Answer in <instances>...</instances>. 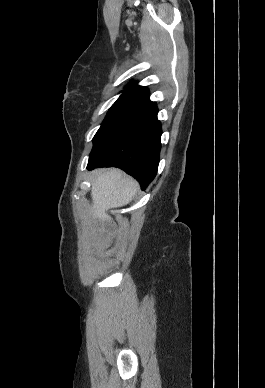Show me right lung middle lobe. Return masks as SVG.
<instances>
[{"instance_id": "obj_1", "label": "right lung middle lobe", "mask_w": 265, "mask_h": 388, "mask_svg": "<svg viewBox=\"0 0 265 388\" xmlns=\"http://www.w3.org/2000/svg\"><path fill=\"white\" fill-rule=\"evenodd\" d=\"M148 104L149 102L146 100L123 95L120 96L110 108L107 116L101 124V127L95 134L92 150L129 122Z\"/></svg>"}]
</instances>
